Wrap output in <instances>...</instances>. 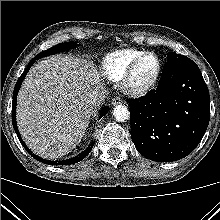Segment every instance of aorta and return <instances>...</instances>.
Returning <instances> with one entry per match:
<instances>
[{
    "mask_svg": "<svg viewBox=\"0 0 220 220\" xmlns=\"http://www.w3.org/2000/svg\"><path fill=\"white\" fill-rule=\"evenodd\" d=\"M129 110L125 105H117L113 109V116L115 119L119 122H125L126 120L129 119Z\"/></svg>",
    "mask_w": 220,
    "mask_h": 220,
    "instance_id": "aorta-1",
    "label": "aorta"
}]
</instances>
